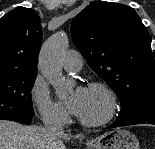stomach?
<instances>
[{
  "mask_svg": "<svg viewBox=\"0 0 155 149\" xmlns=\"http://www.w3.org/2000/svg\"><path fill=\"white\" fill-rule=\"evenodd\" d=\"M85 144L88 149H140L136 136L125 129H113Z\"/></svg>",
  "mask_w": 155,
  "mask_h": 149,
  "instance_id": "1",
  "label": "stomach"
}]
</instances>
